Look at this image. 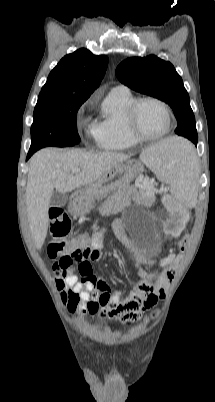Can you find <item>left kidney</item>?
Segmentation results:
<instances>
[{"label": "left kidney", "instance_id": "obj_1", "mask_svg": "<svg viewBox=\"0 0 215 402\" xmlns=\"http://www.w3.org/2000/svg\"><path fill=\"white\" fill-rule=\"evenodd\" d=\"M166 203H172V198H166ZM170 213L172 216H175L177 220H165L164 227L165 229H170L172 236L180 237L179 232H181L183 226L186 225L187 217L185 218V215L182 214L179 204H173Z\"/></svg>", "mask_w": 215, "mask_h": 402}]
</instances>
